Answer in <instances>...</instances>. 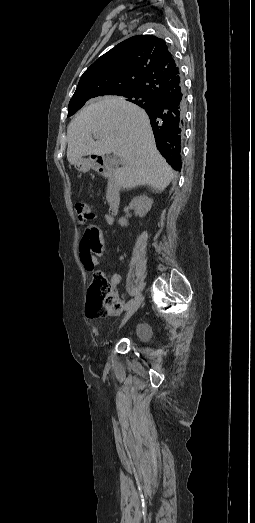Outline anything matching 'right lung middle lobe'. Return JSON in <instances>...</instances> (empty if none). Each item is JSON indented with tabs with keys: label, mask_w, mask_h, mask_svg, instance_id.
I'll use <instances>...</instances> for the list:
<instances>
[{
	"label": "right lung middle lobe",
	"mask_w": 255,
	"mask_h": 523,
	"mask_svg": "<svg viewBox=\"0 0 255 523\" xmlns=\"http://www.w3.org/2000/svg\"><path fill=\"white\" fill-rule=\"evenodd\" d=\"M118 96L125 97V98H127V101H130L133 103H135L137 101H144L148 98V95L145 92H140V91L125 92V93L119 94ZM82 106L83 105L69 106L68 116L74 115Z\"/></svg>",
	"instance_id": "1"
}]
</instances>
